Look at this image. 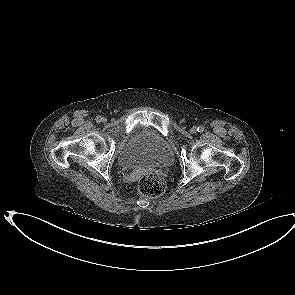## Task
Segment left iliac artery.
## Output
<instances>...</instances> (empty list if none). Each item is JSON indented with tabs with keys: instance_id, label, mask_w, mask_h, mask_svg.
Returning a JSON list of instances; mask_svg holds the SVG:
<instances>
[{
	"instance_id": "left-iliac-artery-1",
	"label": "left iliac artery",
	"mask_w": 295,
	"mask_h": 295,
	"mask_svg": "<svg viewBox=\"0 0 295 295\" xmlns=\"http://www.w3.org/2000/svg\"><path fill=\"white\" fill-rule=\"evenodd\" d=\"M197 131L200 132V133L203 132V131H204V127H203V126H199V127L197 128Z\"/></svg>"
}]
</instances>
